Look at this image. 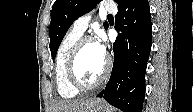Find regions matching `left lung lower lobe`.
I'll use <instances>...</instances> for the list:
<instances>
[{"label": "left lung lower lobe", "mask_w": 193, "mask_h": 112, "mask_svg": "<svg viewBox=\"0 0 193 112\" xmlns=\"http://www.w3.org/2000/svg\"><path fill=\"white\" fill-rule=\"evenodd\" d=\"M118 10L117 26L122 33L113 44L110 80L97 97L124 112H141L152 38L149 3L148 0H128Z\"/></svg>", "instance_id": "0a47b994"}]
</instances>
